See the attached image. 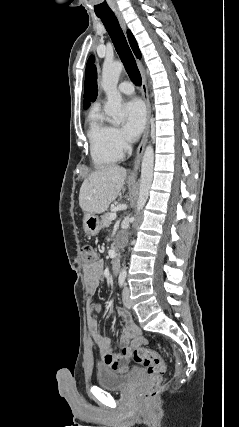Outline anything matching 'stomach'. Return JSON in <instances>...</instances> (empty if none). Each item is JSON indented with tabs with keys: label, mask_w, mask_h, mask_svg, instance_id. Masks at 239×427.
Returning a JSON list of instances; mask_svg holds the SVG:
<instances>
[{
	"label": "stomach",
	"mask_w": 239,
	"mask_h": 427,
	"mask_svg": "<svg viewBox=\"0 0 239 427\" xmlns=\"http://www.w3.org/2000/svg\"><path fill=\"white\" fill-rule=\"evenodd\" d=\"M84 230L87 234L95 236L102 228V221L94 213H86L83 218Z\"/></svg>",
	"instance_id": "1"
}]
</instances>
